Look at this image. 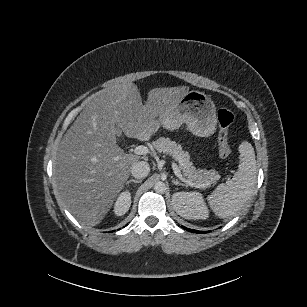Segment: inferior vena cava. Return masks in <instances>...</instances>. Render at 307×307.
I'll return each instance as SVG.
<instances>
[{
    "label": "inferior vena cava",
    "instance_id": "inferior-vena-cava-1",
    "mask_svg": "<svg viewBox=\"0 0 307 307\" xmlns=\"http://www.w3.org/2000/svg\"><path fill=\"white\" fill-rule=\"evenodd\" d=\"M150 172V166L145 161H137L133 164L131 173L136 178H143Z\"/></svg>",
    "mask_w": 307,
    "mask_h": 307
}]
</instances>
